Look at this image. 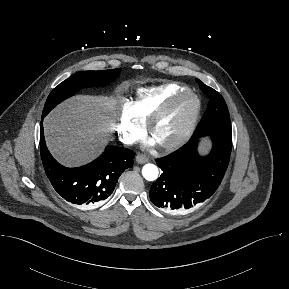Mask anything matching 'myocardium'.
I'll use <instances>...</instances> for the list:
<instances>
[{
	"mask_svg": "<svg viewBox=\"0 0 289 289\" xmlns=\"http://www.w3.org/2000/svg\"><path fill=\"white\" fill-rule=\"evenodd\" d=\"M185 97H189L193 102L192 112L183 130L176 138L168 142L159 143V146L165 150H173L182 146L194 132L201 112V100L198 94L189 88L174 93L149 116L146 122L147 132L152 136L153 129L157 122L162 119L180 99Z\"/></svg>",
	"mask_w": 289,
	"mask_h": 289,
	"instance_id": "obj_1",
	"label": "myocardium"
}]
</instances>
